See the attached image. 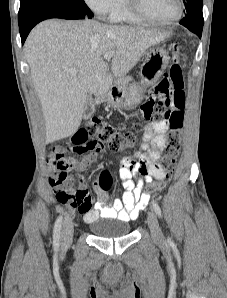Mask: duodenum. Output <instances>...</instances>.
<instances>
[{"label":"duodenum","mask_w":227,"mask_h":298,"mask_svg":"<svg viewBox=\"0 0 227 298\" xmlns=\"http://www.w3.org/2000/svg\"><path fill=\"white\" fill-rule=\"evenodd\" d=\"M110 93L112 95H117V94H119V89L117 87H113ZM103 99H105V96L100 98V100H103Z\"/></svg>","instance_id":"1"}]
</instances>
